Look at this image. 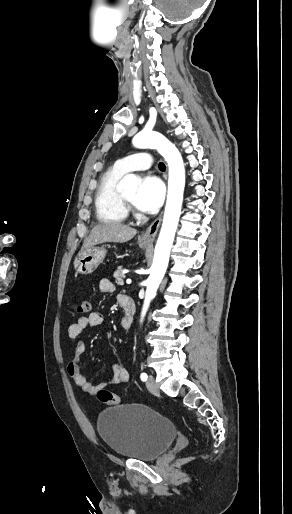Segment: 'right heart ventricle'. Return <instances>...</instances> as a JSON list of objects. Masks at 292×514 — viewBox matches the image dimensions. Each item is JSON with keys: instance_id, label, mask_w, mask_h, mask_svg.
I'll list each match as a JSON object with an SVG mask.
<instances>
[{"instance_id": "obj_1", "label": "right heart ventricle", "mask_w": 292, "mask_h": 514, "mask_svg": "<svg viewBox=\"0 0 292 514\" xmlns=\"http://www.w3.org/2000/svg\"><path fill=\"white\" fill-rule=\"evenodd\" d=\"M123 175L115 169H109L101 176L94 196V210L99 222L120 223L126 219L127 213L117 200V183Z\"/></svg>"}]
</instances>
